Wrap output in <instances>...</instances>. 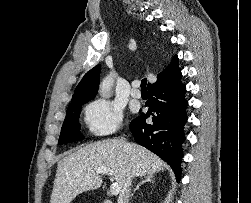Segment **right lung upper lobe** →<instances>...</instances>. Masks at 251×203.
Returning a JSON list of instances; mask_svg holds the SVG:
<instances>
[{
  "label": "right lung upper lobe",
  "instance_id": "1",
  "mask_svg": "<svg viewBox=\"0 0 251 203\" xmlns=\"http://www.w3.org/2000/svg\"><path fill=\"white\" fill-rule=\"evenodd\" d=\"M177 64L178 57L177 55H175L171 60L170 64L157 75V81L162 79ZM100 69V65H96L84 75V77L75 89L71 104L89 101L96 96L100 82ZM150 85L151 84H148V87Z\"/></svg>",
  "mask_w": 251,
  "mask_h": 203
}]
</instances>
